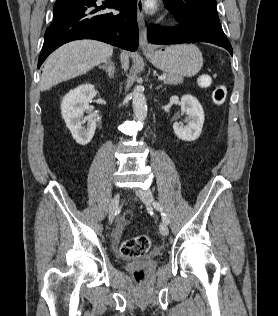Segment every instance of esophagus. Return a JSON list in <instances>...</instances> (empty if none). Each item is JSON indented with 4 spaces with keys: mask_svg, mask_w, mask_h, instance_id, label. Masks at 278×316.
Here are the masks:
<instances>
[{
    "mask_svg": "<svg viewBox=\"0 0 278 316\" xmlns=\"http://www.w3.org/2000/svg\"><path fill=\"white\" fill-rule=\"evenodd\" d=\"M144 0H137V23L139 29V47L144 54L152 52L151 46L147 41L146 24L143 14Z\"/></svg>",
    "mask_w": 278,
    "mask_h": 316,
    "instance_id": "esophagus-1",
    "label": "esophagus"
}]
</instances>
